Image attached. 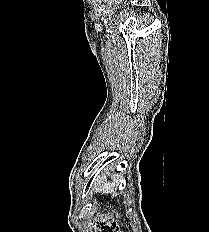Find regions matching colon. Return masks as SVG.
I'll return each mask as SVG.
<instances>
[{"mask_svg": "<svg viewBox=\"0 0 209 232\" xmlns=\"http://www.w3.org/2000/svg\"><path fill=\"white\" fill-rule=\"evenodd\" d=\"M98 227L100 232H120L116 223L109 217L103 219Z\"/></svg>", "mask_w": 209, "mask_h": 232, "instance_id": "5ec220e1", "label": "colon"}]
</instances>
